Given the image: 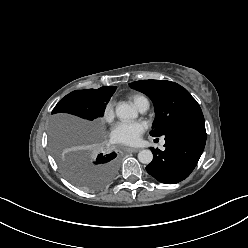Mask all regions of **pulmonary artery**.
Instances as JSON below:
<instances>
[{"label": "pulmonary artery", "mask_w": 248, "mask_h": 248, "mask_svg": "<svg viewBox=\"0 0 248 248\" xmlns=\"http://www.w3.org/2000/svg\"><path fill=\"white\" fill-rule=\"evenodd\" d=\"M149 108V103L148 102H144L142 103L140 106H138V110L141 112V113H144L148 110ZM164 143V140L162 141V144Z\"/></svg>", "instance_id": "pulmonary-artery-1"}]
</instances>
